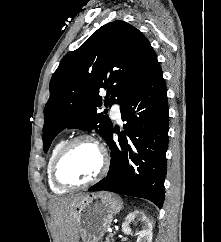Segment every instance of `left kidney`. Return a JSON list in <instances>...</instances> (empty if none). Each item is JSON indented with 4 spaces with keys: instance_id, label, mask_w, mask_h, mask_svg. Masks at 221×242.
Listing matches in <instances>:
<instances>
[{
    "instance_id": "1",
    "label": "left kidney",
    "mask_w": 221,
    "mask_h": 242,
    "mask_svg": "<svg viewBox=\"0 0 221 242\" xmlns=\"http://www.w3.org/2000/svg\"><path fill=\"white\" fill-rule=\"evenodd\" d=\"M135 219L143 223V230L138 232L136 242H152V223L142 211L129 213L122 224V231L127 235H132L130 225L135 222Z\"/></svg>"
}]
</instances>
